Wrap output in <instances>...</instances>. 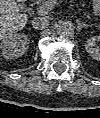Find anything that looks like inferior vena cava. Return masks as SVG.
I'll return each mask as SVG.
<instances>
[{
	"instance_id": "1",
	"label": "inferior vena cava",
	"mask_w": 100,
	"mask_h": 118,
	"mask_svg": "<svg viewBox=\"0 0 100 118\" xmlns=\"http://www.w3.org/2000/svg\"><path fill=\"white\" fill-rule=\"evenodd\" d=\"M49 25V20L47 17H35L32 20V26L37 30L46 29Z\"/></svg>"
}]
</instances>
